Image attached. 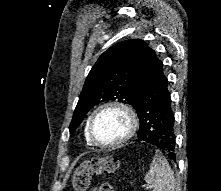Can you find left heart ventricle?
<instances>
[{"mask_svg": "<svg viewBox=\"0 0 221 191\" xmlns=\"http://www.w3.org/2000/svg\"><path fill=\"white\" fill-rule=\"evenodd\" d=\"M127 129L125 116L116 110L104 111L94 124L95 138L102 143H110L121 138Z\"/></svg>", "mask_w": 221, "mask_h": 191, "instance_id": "left-heart-ventricle-1", "label": "left heart ventricle"}]
</instances>
